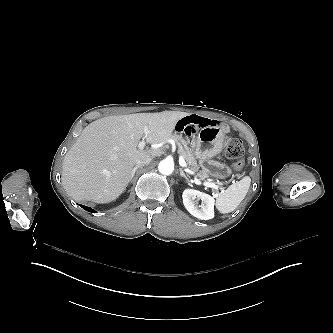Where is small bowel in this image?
<instances>
[{
	"label": "small bowel",
	"instance_id": "obj_1",
	"mask_svg": "<svg viewBox=\"0 0 333 333\" xmlns=\"http://www.w3.org/2000/svg\"><path fill=\"white\" fill-rule=\"evenodd\" d=\"M210 119L199 115H188L185 118H178L173 123V128L177 132L195 133L202 128L212 125Z\"/></svg>",
	"mask_w": 333,
	"mask_h": 333
}]
</instances>
